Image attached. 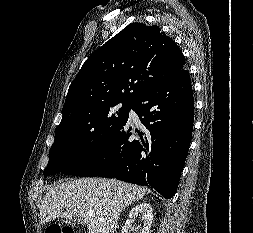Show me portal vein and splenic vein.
<instances>
[{
  "label": "portal vein and splenic vein",
  "mask_w": 253,
  "mask_h": 233,
  "mask_svg": "<svg viewBox=\"0 0 253 233\" xmlns=\"http://www.w3.org/2000/svg\"><path fill=\"white\" fill-rule=\"evenodd\" d=\"M89 214H90V215L93 214V210H89Z\"/></svg>",
  "instance_id": "1"
}]
</instances>
